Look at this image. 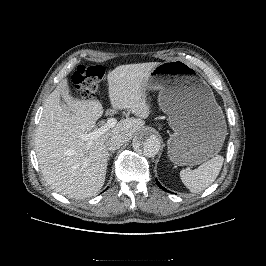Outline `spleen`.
Here are the masks:
<instances>
[{
  "label": "spleen",
  "instance_id": "3e777b00",
  "mask_svg": "<svg viewBox=\"0 0 266 266\" xmlns=\"http://www.w3.org/2000/svg\"><path fill=\"white\" fill-rule=\"evenodd\" d=\"M223 161V156L217 155L201 164L197 169L181 170L180 178L191 192H200L215 181L222 168Z\"/></svg>",
  "mask_w": 266,
  "mask_h": 266
}]
</instances>
